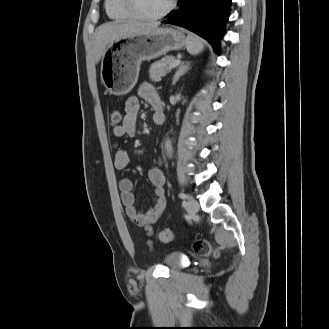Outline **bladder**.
I'll use <instances>...</instances> for the list:
<instances>
[{
	"instance_id": "31cf9c89",
	"label": "bladder",
	"mask_w": 329,
	"mask_h": 329,
	"mask_svg": "<svg viewBox=\"0 0 329 329\" xmlns=\"http://www.w3.org/2000/svg\"><path fill=\"white\" fill-rule=\"evenodd\" d=\"M185 261L181 253L171 252L164 258V264L170 269H180L183 267Z\"/></svg>"
}]
</instances>
